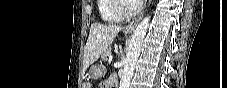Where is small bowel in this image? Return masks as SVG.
<instances>
[{
    "label": "small bowel",
    "mask_w": 227,
    "mask_h": 88,
    "mask_svg": "<svg viewBox=\"0 0 227 88\" xmlns=\"http://www.w3.org/2000/svg\"><path fill=\"white\" fill-rule=\"evenodd\" d=\"M117 80V77L115 75L111 76L109 79L106 81L102 82L100 84V88H113V81Z\"/></svg>",
    "instance_id": "1"
}]
</instances>
